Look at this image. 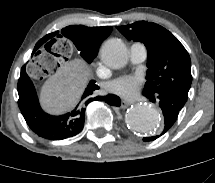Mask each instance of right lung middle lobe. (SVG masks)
<instances>
[{
  "instance_id": "1",
  "label": "right lung middle lobe",
  "mask_w": 215,
  "mask_h": 183,
  "mask_svg": "<svg viewBox=\"0 0 215 183\" xmlns=\"http://www.w3.org/2000/svg\"><path fill=\"white\" fill-rule=\"evenodd\" d=\"M84 35L85 32L82 25L72 26V29L68 31L67 38L75 44L76 48L80 51L81 57L88 63H91L98 53L87 47Z\"/></svg>"
}]
</instances>
